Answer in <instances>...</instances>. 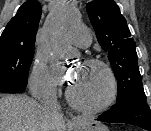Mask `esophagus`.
Segmentation results:
<instances>
[{"mask_svg": "<svg viewBox=\"0 0 151 131\" xmlns=\"http://www.w3.org/2000/svg\"><path fill=\"white\" fill-rule=\"evenodd\" d=\"M71 120L74 121V122H75V121H78V120H79V117L73 116V117L71 118Z\"/></svg>", "mask_w": 151, "mask_h": 131, "instance_id": "obj_1", "label": "esophagus"}]
</instances>
